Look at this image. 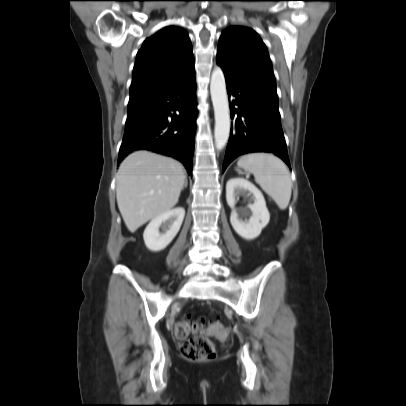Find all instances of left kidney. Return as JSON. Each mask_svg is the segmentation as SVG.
Returning <instances> with one entry per match:
<instances>
[{
    "label": "left kidney",
    "instance_id": "5707ae66",
    "mask_svg": "<svg viewBox=\"0 0 406 406\" xmlns=\"http://www.w3.org/2000/svg\"><path fill=\"white\" fill-rule=\"evenodd\" d=\"M240 195L250 196L253 201L247 205L250 213L248 211L242 213L243 216H249V219L245 221L239 219V214L235 209L237 198ZM226 200L232 209L230 222L235 232L246 240L257 238L270 220V214L261 191L244 178H232L226 184Z\"/></svg>",
    "mask_w": 406,
    "mask_h": 406
}]
</instances>
